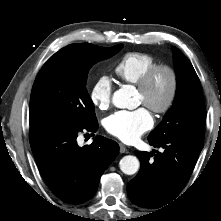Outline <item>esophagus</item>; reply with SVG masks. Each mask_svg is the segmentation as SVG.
Instances as JSON below:
<instances>
[{
	"label": "esophagus",
	"instance_id": "esophagus-1",
	"mask_svg": "<svg viewBox=\"0 0 221 221\" xmlns=\"http://www.w3.org/2000/svg\"><path fill=\"white\" fill-rule=\"evenodd\" d=\"M119 147L121 153L127 152V147L123 143H119Z\"/></svg>",
	"mask_w": 221,
	"mask_h": 221
}]
</instances>
